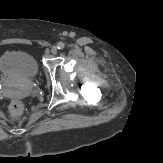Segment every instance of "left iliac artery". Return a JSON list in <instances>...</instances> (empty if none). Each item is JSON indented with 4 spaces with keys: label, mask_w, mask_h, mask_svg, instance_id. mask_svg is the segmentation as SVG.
I'll use <instances>...</instances> for the list:
<instances>
[{
    "label": "left iliac artery",
    "mask_w": 163,
    "mask_h": 163,
    "mask_svg": "<svg viewBox=\"0 0 163 163\" xmlns=\"http://www.w3.org/2000/svg\"><path fill=\"white\" fill-rule=\"evenodd\" d=\"M64 47H65V44H64L63 42H59V43L57 44V48H58L59 50L64 49Z\"/></svg>",
    "instance_id": "obj_1"
}]
</instances>
